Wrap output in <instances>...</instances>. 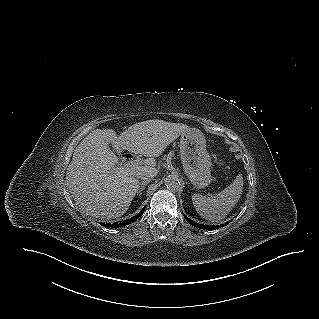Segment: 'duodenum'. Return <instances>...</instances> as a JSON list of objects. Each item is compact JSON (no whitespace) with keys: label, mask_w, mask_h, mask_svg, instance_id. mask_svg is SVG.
<instances>
[{"label":"duodenum","mask_w":319,"mask_h":319,"mask_svg":"<svg viewBox=\"0 0 319 319\" xmlns=\"http://www.w3.org/2000/svg\"><path fill=\"white\" fill-rule=\"evenodd\" d=\"M129 159H131V160H132V159H133V157H132V156H129Z\"/></svg>","instance_id":"obj_1"}]
</instances>
